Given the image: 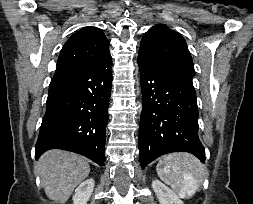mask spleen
<instances>
[{
  "instance_id": "3e777b00",
  "label": "spleen",
  "mask_w": 253,
  "mask_h": 204,
  "mask_svg": "<svg viewBox=\"0 0 253 204\" xmlns=\"http://www.w3.org/2000/svg\"><path fill=\"white\" fill-rule=\"evenodd\" d=\"M156 171L180 197H192L205 179L201 162L189 153H172L162 157Z\"/></svg>"
}]
</instances>
